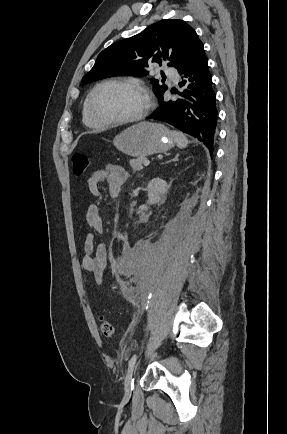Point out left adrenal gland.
<instances>
[{
    "instance_id": "left-adrenal-gland-1",
    "label": "left adrenal gland",
    "mask_w": 287,
    "mask_h": 434,
    "mask_svg": "<svg viewBox=\"0 0 287 434\" xmlns=\"http://www.w3.org/2000/svg\"><path fill=\"white\" fill-rule=\"evenodd\" d=\"M178 157H179V154H177L173 159L167 161L166 163H170V162H172V161H177V160H178Z\"/></svg>"
}]
</instances>
